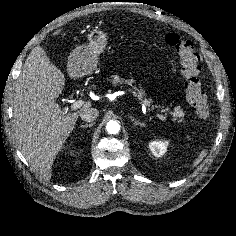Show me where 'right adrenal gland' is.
Here are the masks:
<instances>
[{
    "instance_id": "right-adrenal-gland-1",
    "label": "right adrenal gland",
    "mask_w": 236,
    "mask_h": 236,
    "mask_svg": "<svg viewBox=\"0 0 236 236\" xmlns=\"http://www.w3.org/2000/svg\"><path fill=\"white\" fill-rule=\"evenodd\" d=\"M93 124H94V122H92V123H89V124H84V125H81L80 127L81 128H90V127H92L93 126Z\"/></svg>"
}]
</instances>
